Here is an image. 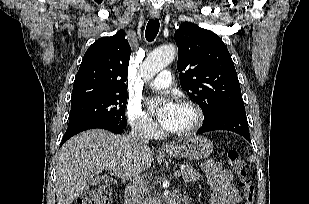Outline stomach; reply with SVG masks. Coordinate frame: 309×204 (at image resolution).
<instances>
[{
    "mask_svg": "<svg viewBox=\"0 0 309 204\" xmlns=\"http://www.w3.org/2000/svg\"><path fill=\"white\" fill-rule=\"evenodd\" d=\"M213 151L212 142L203 136H195L181 145H176L166 153L172 157H182L191 160H200L207 158Z\"/></svg>",
    "mask_w": 309,
    "mask_h": 204,
    "instance_id": "0dacf381",
    "label": "stomach"
}]
</instances>
